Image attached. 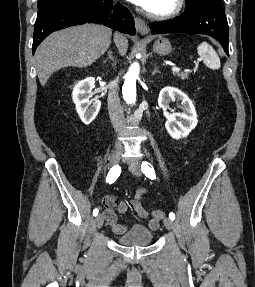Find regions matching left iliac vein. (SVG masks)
<instances>
[{
	"mask_svg": "<svg viewBox=\"0 0 255 287\" xmlns=\"http://www.w3.org/2000/svg\"><path fill=\"white\" fill-rule=\"evenodd\" d=\"M129 169L136 176H141L142 174L140 165L138 163H131ZM164 226L166 227V229L171 230L173 228V221L170 218H165Z\"/></svg>",
	"mask_w": 255,
	"mask_h": 287,
	"instance_id": "obj_1",
	"label": "left iliac vein"
}]
</instances>
